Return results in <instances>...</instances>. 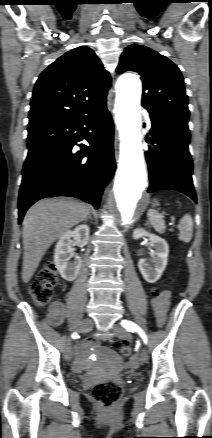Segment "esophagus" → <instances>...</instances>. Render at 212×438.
Segmentation results:
<instances>
[{
    "instance_id": "34e87169",
    "label": "esophagus",
    "mask_w": 212,
    "mask_h": 438,
    "mask_svg": "<svg viewBox=\"0 0 212 438\" xmlns=\"http://www.w3.org/2000/svg\"><path fill=\"white\" fill-rule=\"evenodd\" d=\"M114 145H115V155H116V158H117V145H118V137H117V134H115Z\"/></svg>"
}]
</instances>
